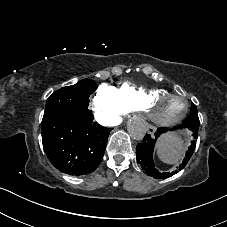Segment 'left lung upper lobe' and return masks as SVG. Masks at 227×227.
<instances>
[{
	"instance_id": "left-lung-upper-lobe-1",
	"label": "left lung upper lobe",
	"mask_w": 227,
	"mask_h": 227,
	"mask_svg": "<svg viewBox=\"0 0 227 227\" xmlns=\"http://www.w3.org/2000/svg\"><path fill=\"white\" fill-rule=\"evenodd\" d=\"M182 127L188 129H199V118L196 105L192 104L188 117L182 122Z\"/></svg>"
}]
</instances>
